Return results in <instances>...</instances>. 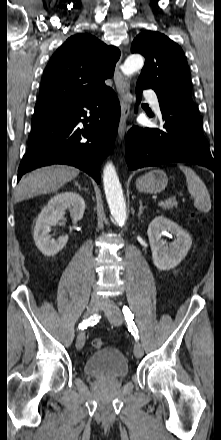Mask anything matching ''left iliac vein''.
I'll use <instances>...</instances> for the list:
<instances>
[{
    "mask_svg": "<svg viewBox=\"0 0 221 440\" xmlns=\"http://www.w3.org/2000/svg\"><path fill=\"white\" fill-rule=\"evenodd\" d=\"M102 308L106 311V316L111 324L115 326L122 324L124 317L119 307L112 300H104ZM134 354L137 358H140L143 355V348L139 342H136L134 346Z\"/></svg>",
    "mask_w": 221,
    "mask_h": 440,
    "instance_id": "obj_1",
    "label": "left iliac vein"
}]
</instances>
